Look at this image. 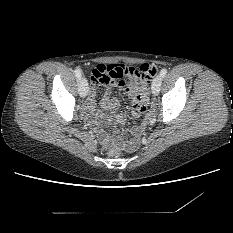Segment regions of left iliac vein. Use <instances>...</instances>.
<instances>
[{
	"label": "left iliac vein",
	"instance_id": "obj_1",
	"mask_svg": "<svg viewBox=\"0 0 233 233\" xmlns=\"http://www.w3.org/2000/svg\"><path fill=\"white\" fill-rule=\"evenodd\" d=\"M162 79L163 77L161 75H158L154 78L152 85H151V90L154 95H157L159 93Z\"/></svg>",
	"mask_w": 233,
	"mask_h": 233
}]
</instances>
